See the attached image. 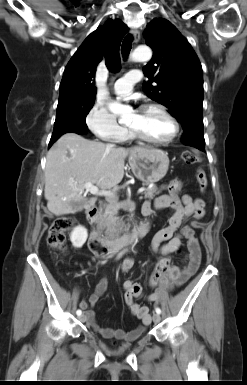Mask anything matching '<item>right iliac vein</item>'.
Returning <instances> with one entry per match:
<instances>
[{
	"label": "right iliac vein",
	"instance_id": "1",
	"mask_svg": "<svg viewBox=\"0 0 247 385\" xmlns=\"http://www.w3.org/2000/svg\"><path fill=\"white\" fill-rule=\"evenodd\" d=\"M79 320H80L81 322H84V321H85V315H84V314L81 315V316L79 317Z\"/></svg>",
	"mask_w": 247,
	"mask_h": 385
}]
</instances>
